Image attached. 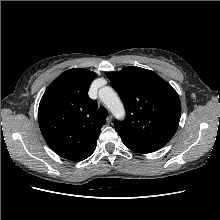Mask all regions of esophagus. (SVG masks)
<instances>
[{
    "label": "esophagus",
    "instance_id": "obj_1",
    "mask_svg": "<svg viewBox=\"0 0 220 220\" xmlns=\"http://www.w3.org/2000/svg\"><path fill=\"white\" fill-rule=\"evenodd\" d=\"M111 121H112V116L110 115V116H108V117L106 118V123H107V124H110Z\"/></svg>",
    "mask_w": 220,
    "mask_h": 220
}]
</instances>
